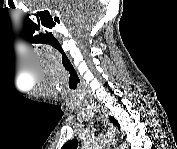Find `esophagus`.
<instances>
[{
  "mask_svg": "<svg viewBox=\"0 0 177 149\" xmlns=\"http://www.w3.org/2000/svg\"><path fill=\"white\" fill-rule=\"evenodd\" d=\"M102 119L104 122H106V120H107L106 115L104 113L102 114ZM106 124H108V123L106 122ZM108 126H109L110 130L115 131V128L113 125L108 124ZM116 145H117L116 142L113 141L112 146L115 148Z\"/></svg>",
  "mask_w": 177,
  "mask_h": 149,
  "instance_id": "34e87169",
  "label": "esophagus"
}]
</instances>
